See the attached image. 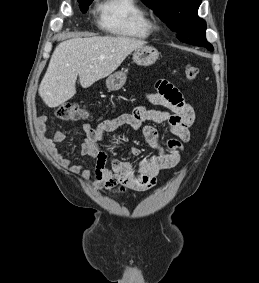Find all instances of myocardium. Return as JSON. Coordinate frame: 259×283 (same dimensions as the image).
Returning <instances> with one entry per match:
<instances>
[{
	"mask_svg": "<svg viewBox=\"0 0 259 283\" xmlns=\"http://www.w3.org/2000/svg\"><path fill=\"white\" fill-rule=\"evenodd\" d=\"M161 28H162V26L160 25V23H152L151 24V29L153 30V31H160L161 30Z\"/></svg>",
	"mask_w": 259,
	"mask_h": 283,
	"instance_id": "f54148a6",
	"label": "myocardium"
}]
</instances>
